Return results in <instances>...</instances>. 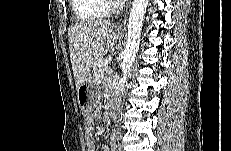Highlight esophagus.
Returning <instances> with one entry per match:
<instances>
[{
	"instance_id": "obj_1",
	"label": "esophagus",
	"mask_w": 231,
	"mask_h": 151,
	"mask_svg": "<svg viewBox=\"0 0 231 151\" xmlns=\"http://www.w3.org/2000/svg\"><path fill=\"white\" fill-rule=\"evenodd\" d=\"M126 15H127V14L124 15L123 19H121L120 23L117 25V27H118L119 29H121V28L123 27V23H124V20H125V18H126Z\"/></svg>"
}]
</instances>
